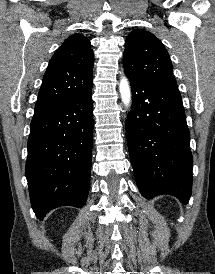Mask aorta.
Returning a JSON list of instances; mask_svg holds the SVG:
<instances>
[{"mask_svg": "<svg viewBox=\"0 0 215 274\" xmlns=\"http://www.w3.org/2000/svg\"><path fill=\"white\" fill-rule=\"evenodd\" d=\"M119 90L121 94V99L124 105L128 108L131 104V90L129 86V82L126 78H122L119 85Z\"/></svg>", "mask_w": 215, "mask_h": 274, "instance_id": "1", "label": "aorta"}]
</instances>
